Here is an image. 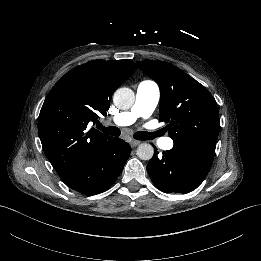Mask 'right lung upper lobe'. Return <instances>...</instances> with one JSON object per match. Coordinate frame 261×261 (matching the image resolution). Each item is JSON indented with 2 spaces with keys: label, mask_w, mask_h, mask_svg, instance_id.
<instances>
[{
  "label": "right lung upper lobe",
  "mask_w": 261,
  "mask_h": 261,
  "mask_svg": "<svg viewBox=\"0 0 261 261\" xmlns=\"http://www.w3.org/2000/svg\"><path fill=\"white\" fill-rule=\"evenodd\" d=\"M136 69L131 60H93L66 73L51 89L40 111L38 132L61 177L94 158L112 138L89 128L107 115L113 92Z\"/></svg>",
  "instance_id": "obj_1"
}]
</instances>
